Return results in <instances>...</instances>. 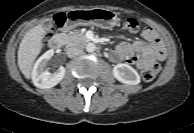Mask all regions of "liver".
<instances>
[{
  "label": "liver",
  "instance_id": "obj_1",
  "mask_svg": "<svg viewBox=\"0 0 194 133\" xmlns=\"http://www.w3.org/2000/svg\"><path fill=\"white\" fill-rule=\"evenodd\" d=\"M45 34L44 26L37 25L24 35L19 45L18 66L27 79L31 77L33 63L43 48Z\"/></svg>",
  "mask_w": 194,
  "mask_h": 133
}]
</instances>
